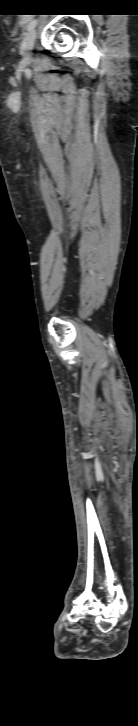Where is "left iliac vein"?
<instances>
[{
    "label": "left iliac vein",
    "mask_w": 138,
    "mask_h": 726,
    "mask_svg": "<svg viewBox=\"0 0 138 726\" xmlns=\"http://www.w3.org/2000/svg\"><path fill=\"white\" fill-rule=\"evenodd\" d=\"M36 38V30L32 29L29 31V33L24 38L21 47L20 52L25 60H30L32 57V50L34 47V42Z\"/></svg>",
    "instance_id": "1"
}]
</instances>
